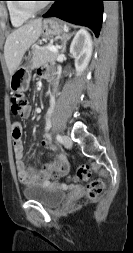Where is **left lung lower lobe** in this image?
<instances>
[{
  "label": "left lung lower lobe",
  "mask_w": 133,
  "mask_h": 253,
  "mask_svg": "<svg viewBox=\"0 0 133 253\" xmlns=\"http://www.w3.org/2000/svg\"><path fill=\"white\" fill-rule=\"evenodd\" d=\"M55 3L43 17L62 20L89 27L98 37L102 26L105 0H53Z\"/></svg>",
  "instance_id": "left-lung-lower-lobe-1"
}]
</instances>
